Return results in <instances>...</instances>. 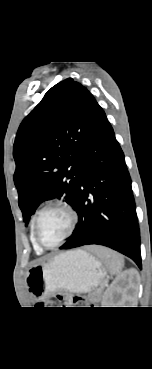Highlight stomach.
I'll use <instances>...</instances> for the list:
<instances>
[{
	"mask_svg": "<svg viewBox=\"0 0 152 369\" xmlns=\"http://www.w3.org/2000/svg\"><path fill=\"white\" fill-rule=\"evenodd\" d=\"M105 275V269L96 258L75 250L61 253L45 264L30 267L26 272V284L30 293L41 299L57 290L90 292Z\"/></svg>",
	"mask_w": 152,
	"mask_h": 369,
	"instance_id": "0dacf381",
	"label": "stomach"
}]
</instances>
